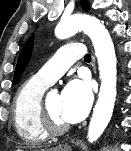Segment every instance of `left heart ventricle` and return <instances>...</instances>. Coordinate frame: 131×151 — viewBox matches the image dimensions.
Instances as JSON below:
<instances>
[{"instance_id": "left-heart-ventricle-1", "label": "left heart ventricle", "mask_w": 131, "mask_h": 151, "mask_svg": "<svg viewBox=\"0 0 131 151\" xmlns=\"http://www.w3.org/2000/svg\"><path fill=\"white\" fill-rule=\"evenodd\" d=\"M47 101L50 112L55 120L61 124H66L67 122L61 116V94L51 93L48 95Z\"/></svg>"}]
</instances>
